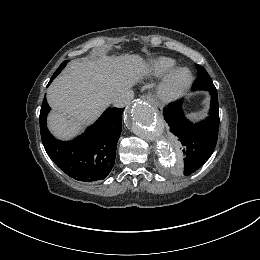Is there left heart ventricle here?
<instances>
[{
	"instance_id": "b2bd125f",
	"label": "left heart ventricle",
	"mask_w": 260,
	"mask_h": 260,
	"mask_svg": "<svg viewBox=\"0 0 260 260\" xmlns=\"http://www.w3.org/2000/svg\"><path fill=\"white\" fill-rule=\"evenodd\" d=\"M186 79H187V73L185 71L180 72L177 76V80L180 82L185 81Z\"/></svg>"
}]
</instances>
